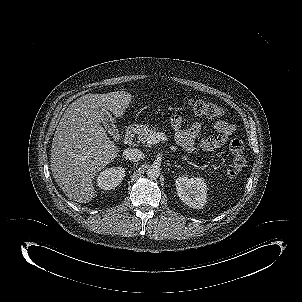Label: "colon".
I'll use <instances>...</instances> for the list:
<instances>
[{"instance_id":"5ec220e1","label":"colon","mask_w":302,"mask_h":302,"mask_svg":"<svg viewBox=\"0 0 302 302\" xmlns=\"http://www.w3.org/2000/svg\"><path fill=\"white\" fill-rule=\"evenodd\" d=\"M190 107L199 115L208 117H219L223 114V108L214 103L204 102L201 100H191ZM229 150L233 156L234 165L228 170L227 176L232 178L245 163L244 145L238 139H233L229 144Z\"/></svg>"}]
</instances>
